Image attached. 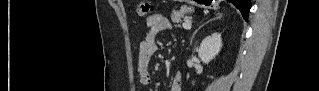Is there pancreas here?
I'll use <instances>...</instances> for the list:
<instances>
[{
	"instance_id": "1",
	"label": "pancreas",
	"mask_w": 319,
	"mask_h": 91,
	"mask_svg": "<svg viewBox=\"0 0 319 91\" xmlns=\"http://www.w3.org/2000/svg\"><path fill=\"white\" fill-rule=\"evenodd\" d=\"M192 10L188 7H181V9L178 10H174L172 15H171V20L172 22L175 24L176 27H180V22H181V18H184V15L186 13H190Z\"/></svg>"
}]
</instances>
